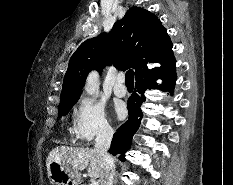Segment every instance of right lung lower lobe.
Returning <instances> with one entry per match:
<instances>
[{
    "label": "right lung lower lobe",
    "mask_w": 233,
    "mask_h": 185,
    "mask_svg": "<svg viewBox=\"0 0 233 185\" xmlns=\"http://www.w3.org/2000/svg\"><path fill=\"white\" fill-rule=\"evenodd\" d=\"M135 79V92L128 100L129 118L114 134L109 149L111 154H119L121 161H125V152L130 148L132 137L140 126V121L143 116L140 106L145 101V90L161 89L162 91L172 93L177 79L176 60L172 58L161 64L160 67L142 71L136 75ZM157 79H162L163 83L157 85Z\"/></svg>",
    "instance_id": "1"
}]
</instances>
